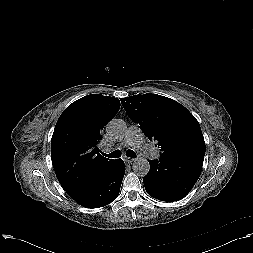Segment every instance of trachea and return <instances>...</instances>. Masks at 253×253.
I'll return each instance as SVG.
<instances>
[{"label": "trachea", "mask_w": 253, "mask_h": 253, "mask_svg": "<svg viewBox=\"0 0 253 253\" xmlns=\"http://www.w3.org/2000/svg\"><path fill=\"white\" fill-rule=\"evenodd\" d=\"M102 154H103V156L108 157V158H120L121 157V152L119 150H115L109 154H105V153H102ZM126 156L131 157V158H135L136 153L133 150H127Z\"/></svg>", "instance_id": "trachea-1"}]
</instances>
